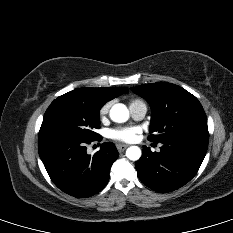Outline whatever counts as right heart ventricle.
Segmentation results:
<instances>
[{"mask_svg":"<svg viewBox=\"0 0 233 233\" xmlns=\"http://www.w3.org/2000/svg\"><path fill=\"white\" fill-rule=\"evenodd\" d=\"M140 100H133L130 104H133L135 102H139Z\"/></svg>","mask_w":233,"mask_h":233,"instance_id":"right-heart-ventricle-1","label":"right heart ventricle"}]
</instances>
